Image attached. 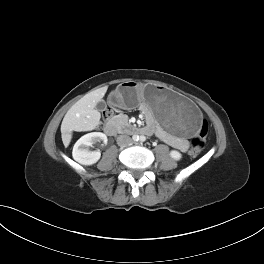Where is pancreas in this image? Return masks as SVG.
<instances>
[{
  "mask_svg": "<svg viewBox=\"0 0 264 264\" xmlns=\"http://www.w3.org/2000/svg\"><path fill=\"white\" fill-rule=\"evenodd\" d=\"M114 121L116 122V124L120 127H124L128 124V118L124 115H117L114 116Z\"/></svg>",
  "mask_w": 264,
  "mask_h": 264,
  "instance_id": "obj_1",
  "label": "pancreas"
}]
</instances>
